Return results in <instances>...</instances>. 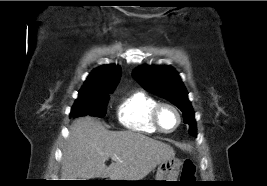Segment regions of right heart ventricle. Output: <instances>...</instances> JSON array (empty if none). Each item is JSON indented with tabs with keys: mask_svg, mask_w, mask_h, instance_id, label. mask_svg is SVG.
I'll list each match as a JSON object with an SVG mask.
<instances>
[{
	"mask_svg": "<svg viewBox=\"0 0 267 186\" xmlns=\"http://www.w3.org/2000/svg\"><path fill=\"white\" fill-rule=\"evenodd\" d=\"M159 103L151 95L136 91L126 97L118 106L117 118L125 129L143 134H156L157 129L151 121V113Z\"/></svg>",
	"mask_w": 267,
	"mask_h": 186,
	"instance_id": "right-heart-ventricle-1",
	"label": "right heart ventricle"
}]
</instances>
